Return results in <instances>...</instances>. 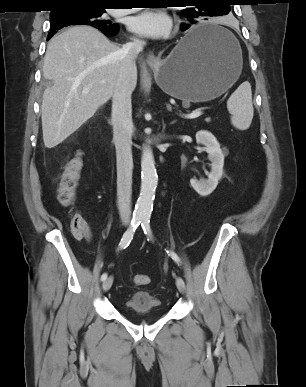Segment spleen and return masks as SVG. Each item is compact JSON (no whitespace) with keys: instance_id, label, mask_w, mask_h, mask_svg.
<instances>
[{"instance_id":"1","label":"spleen","mask_w":306,"mask_h":387,"mask_svg":"<svg viewBox=\"0 0 306 387\" xmlns=\"http://www.w3.org/2000/svg\"><path fill=\"white\" fill-rule=\"evenodd\" d=\"M231 123L240 130L249 128L253 119L252 91L249 82H243L227 101Z\"/></svg>"}]
</instances>
